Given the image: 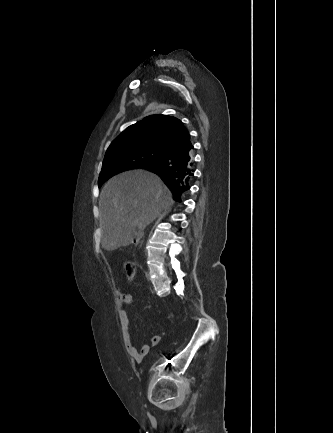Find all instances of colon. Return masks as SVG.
I'll return each mask as SVG.
<instances>
[{
  "mask_svg": "<svg viewBox=\"0 0 333 433\" xmlns=\"http://www.w3.org/2000/svg\"><path fill=\"white\" fill-rule=\"evenodd\" d=\"M124 267H125V272H126L127 278L130 279V280L133 279L134 276H135V274H136V265H135V263L131 262V261H127L124 264Z\"/></svg>",
  "mask_w": 333,
  "mask_h": 433,
  "instance_id": "obj_1",
  "label": "colon"
}]
</instances>
